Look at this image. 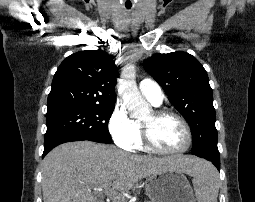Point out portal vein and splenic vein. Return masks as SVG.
<instances>
[{"label":"portal vein and splenic vein","instance_id":"portal-vein-and-splenic-vein-1","mask_svg":"<svg viewBox=\"0 0 255 202\" xmlns=\"http://www.w3.org/2000/svg\"><path fill=\"white\" fill-rule=\"evenodd\" d=\"M111 183L108 182L105 185L102 186V189L104 190V192L108 195H115V192L110 189Z\"/></svg>","mask_w":255,"mask_h":202}]
</instances>
